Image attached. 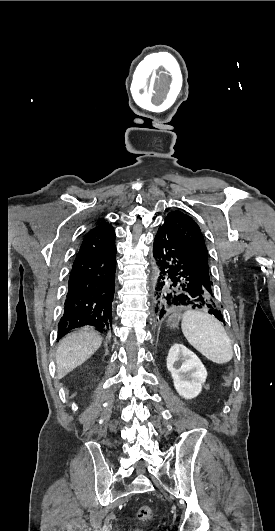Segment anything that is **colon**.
<instances>
[{
  "label": "colon",
  "mask_w": 275,
  "mask_h": 531,
  "mask_svg": "<svg viewBox=\"0 0 275 531\" xmlns=\"http://www.w3.org/2000/svg\"><path fill=\"white\" fill-rule=\"evenodd\" d=\"M230 379L231 375L230 373H226L224 376V388H228L230 386ZM153 511L150 506H141L137 509V519L139 521H146L149 520L152 517Z\"/></svg>",
  "instance_id": "5ec220e1"
}]
</instances>
